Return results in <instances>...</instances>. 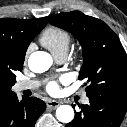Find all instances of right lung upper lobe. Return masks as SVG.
<instances>
[{"instance_id":"1","label":"right lung upper lobe","mask_w":127,"mask_h":127,"mask_svg":"<svg viewBox=\"0 0 127 127\" xmlns=\"http://www.w3.org/2000/svg\"><path fill=\"white\" fill-rule=\"evenodd\" d=\"M48 17L0 19V103L13 96L14 71H21L30 42L45 27Z\"/></svg>"}]
</instances>
